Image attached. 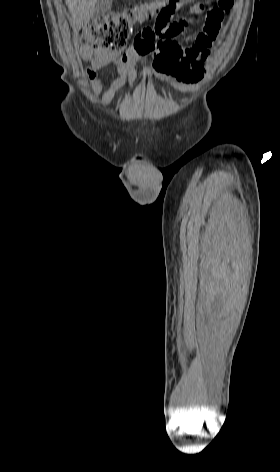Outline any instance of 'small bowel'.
<instances>
[{"label":"small bowel","instance_id":"small-bowel-1","mask_svg":"<svg viewBox=\"0 0 280 472\" xmlns=\"http://www.w3.org/2000/svg\"><path fill=\"white\" fill-rule=\"evenodd\" d=\"M193 1L183 0V3ZM205 10L203 4L196 3L191 13L202 16ZM187 24V19L165 23L156 21L153 27L142 29L135 36L133 45L119 58L100 49L81 46L79 52L82 59L90 63L87 68L88 78L94 93L101 95L102 105L108 106L124 85L135 83L136 66L147 56L152 59L150 71L154 76L166 80L180 91L196 90L205 75L206 62L210 49L217 41L221 23L211 25L205 22L195 41L182 47L176 39L185 31ZM105 67L115 68L119 76L103 91L99 72Z\"/></svg>","mask_w":280,"mask_h":472}]
</instances>
